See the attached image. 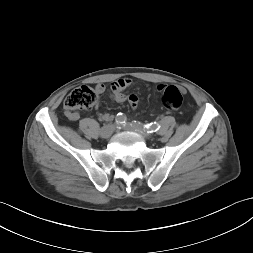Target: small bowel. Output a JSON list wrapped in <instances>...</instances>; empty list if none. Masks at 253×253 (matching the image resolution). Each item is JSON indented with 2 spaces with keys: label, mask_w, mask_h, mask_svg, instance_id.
Wrapping results in <instances>:
<instances>
[{
  "label": "small bowel",
  "mask_w": 253,
  "mask_h": 253,
  "mask_svg": "<svg viewBox=\"0 0 253 253\" xmlns=\"http://www.w3.org/2000/svg\"><path fill=\"white\" fill-rule=\"evenodd\" d=\"M132 81L129 78H120L116 80L115 82L112 83L111 85V97L114 101L118 103H123V102H129V104L132 107H136L138 103V98L136 95L131 94L129 96L125 95L123 93V90L126 89L131 85ZM165 85L160 84L158 85V90L162 91L164 89ZM95 90L98 94H101L105 90V86L103 84H97L95 87ZM183 110L185 112H190L192 110V105L190 103H185L183 105ZM66 116L70 120H77L79 118V114L77 112H66ZM101 119L103 120H110L111 116L108 113H101L100 114Z\"/></svg>",
  "instance_id": "small-bowel-1"
}]
</instances>
